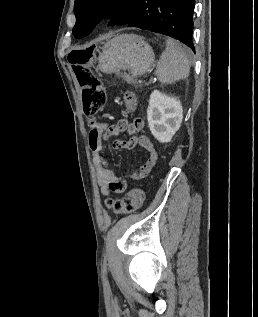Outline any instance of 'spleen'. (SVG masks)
I'll return each instance as SVG.
<instances>
[{
    "instance_id": "1",
    "label": "spleen",
    "mask_w": 258,
    "mask_h": 317,
    "mask_svg": "<svg viewBox=\"0 0 258 317\" xmlns=\"http://www.w3.org/2000/svg\"><path fill=\"white\" fill-rule=\"evenodd\" d=\"M191 58L190 48H182L177 40L167 38L166 48L157 62L155 74L160 82L166 84L186 78L189 76Z\"/></svg>"
}]
</instances>
